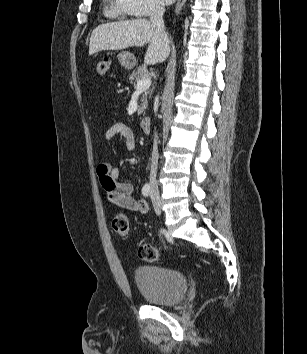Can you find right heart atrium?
Masks as SVG:
<instances>
[{
    "instance_id": "d8ad5b80",
    "label": "right heart atrium",
    "mask_w": 307,
    "mask_h": 354,
    "mask_svg": "<svg viewBox=\"0 0 307 354\" xmlns=\"http://www.w3.org/2000/svg\"><path fill=\"white\" fill-rule=\"evenodd\" d=\"M135 16H149L162 9L160 0H124Z\"/></svg>"
}]
</instances>
